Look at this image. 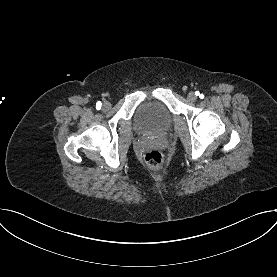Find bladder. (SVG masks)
Instances as JSON below:
<instances>
[{"label": "bladder", "instance_id": "31cf9c89", "mask_svg": "<svg viewBox=\"0 0 277 277\" xmlns=\"http://www.w3.org/2000/svg\"><path fill=\"white\" fill-rule=\"evenodd\" d=\"M136 128L144 134H161L172 125L170 111L161 103L148 101L141 104L135 114Z\"/></svg>", "mask_w": 277, "mask_h": 277}]
</instances>
